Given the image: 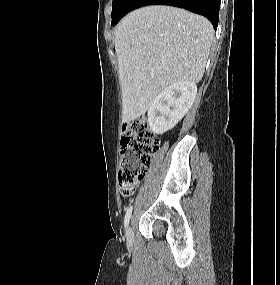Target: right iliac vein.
Listing matches in <instances>:
<instances>
[{
    "label": "right iliac vein",
    "mask_w": 280,
    "mask_h": 285,
    "mask_svg": "<svg viewBox=\"0 0 280 285\" xmlns=\"http://www.w3.org/2000/svg\"><path fill=\"white\" fill-rule=\"evenodd\" d=\"M126 239H127L128 245L131 246L133 243V230L130 226H128L126 230Z\"/></svg>",
    "instance_id": "63e3f726"
}]
</instances>
